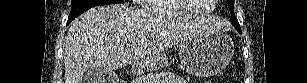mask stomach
Segmentation results:
<instances>
[{"instance_id":"0dacf381","label":"stomach","mask_w":307,"mask_h":83,"mask_svg":"<svg viewBox=\"0 0 307 83\" xmlns=\"http://www.w3.org/2000/svg\"><path fill=\"white\" fill-rule=\"evenodd\" d=\"M234 44L225 34L196 36L181 42L180 62L189 74L207 77L218 73L231 60ZM167 64L164 55H158L146 62L136 64V71L159 70Z\"/></svg>"}]
</instances>
